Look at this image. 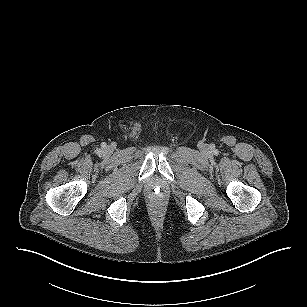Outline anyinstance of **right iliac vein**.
<instances>
[{"label":"right iliac vein","instance_id":"1","mask_svg":"<svg viewBox=\"0 0 307 307\" xmlns=\"http://www.w3.org/2000/svg\"><path fill=\"white\" fill-rule=\"evenodd\" d=\"M112 150H113V148H112V147H109V148L107 149V152H108V153H111Z\"/></svg>","mask_w":307,"mask_h":307}]
</instances>
